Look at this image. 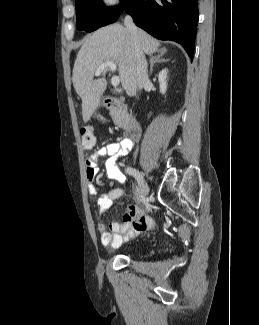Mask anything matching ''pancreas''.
<instances>
[{"label": "pancreas", "instance_id": "1", "mask_svg": "<svg viewBox=\"0 0 259 325\" xmlns=\"http://www.w3.org/2000/svg\"><path fill=\"white\" fill-rule=\"evenodd\" d=\"M110 116H111L115 125H117L120 128H123V129L126 128L127 119H126V115H125L121 106L116 104L114 107H112L110 109Z\"/></svg>", "mask_w": 259, "mask_h": 325}]
</instances>
